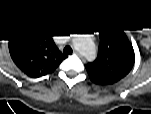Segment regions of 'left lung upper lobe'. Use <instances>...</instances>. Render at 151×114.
Masks as SVG:
<instances>
[{
  "label": "left lung upper lobe",
  "instance_id": "left-lung-upper-lobe-1",
  "mask_svg": "<svg viewBox=\"0 0 151 114\" xmlns=\"http://www.w3.org/2000/svg\"><path fill=\"white\" fill-rule=\"evenodd\" d=\"M134 53L119 36L100 34L99 52L93 63L86 65L90 79L97 84H113L132 69Z\"/></svg>",
  "mask_w": 151,
  "mask_h": 114
}]
</instances>
